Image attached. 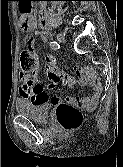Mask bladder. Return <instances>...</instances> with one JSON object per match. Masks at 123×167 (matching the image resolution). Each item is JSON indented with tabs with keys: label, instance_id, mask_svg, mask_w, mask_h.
Segmentation results:
<instances>
[{
	"label": "bladder",
	"instance_id": "obj_1",
	"mask_svg": "<svg viewBox=\"0 0 123 167\" xmlns=\"http://www.w3.org/2000/svg\"><path fill=\"white\" fill-rule=\"evenodd\" d=\"M52 104L49 102H32L21 99L16 102V110L32 121L45 123L49 120Z\"/></svg>",
	"mask_w": 123,
	"mask_h": 167
}]
</instances>
